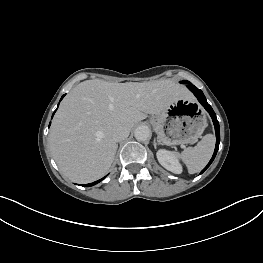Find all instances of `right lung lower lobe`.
Returning a JSON list of instances; mask_svg holds the SVG:
<instances>
[{
    "mask_svg": "<svg viewBox=\"0 0 263 263\" xmlns=\"http://www.w3.org/2000/svg\"><path fill=\"white\" fill-rule=\"evenodd\" d=\"M64 96H65V95H63L62 98H63ZM62 98H61V99H62ZM50 123H51V122H50ZM100 181H102V179H100V180H98V181H95V182H93V183H90V184H84V185H82V186H85V187L93 186V185L99 183Z\"/></svg>",
    "mask_w": 263,
    "mask_h": 263,
    "instance_id": "98d812e1",
    "label": "right lung lower lobe"
}]
</instances>
